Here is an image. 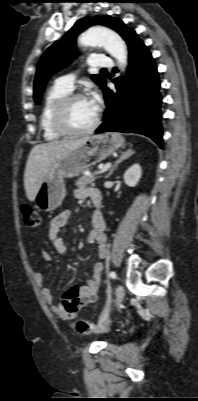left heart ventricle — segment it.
Returning <instances> with one entry per match:
<instances>
[{
	"instance_id": "left-heart-ventricle-1",
	"label": "left heart ventricle",
	"mask_w": 198,
	"mask_h": 401,
	"mask_svg": "<svg viewBox=\"0 0 198 401\" xmlns=\"http://www.w3.org/2000/svg\"><path fill=\"white\" fill-rule=\"evenodd\" d=\"M97 108L89 98H82L71 103L67 112V122L73 129L89 127L95 120Z\"/></svg>"
}]
</instances>
